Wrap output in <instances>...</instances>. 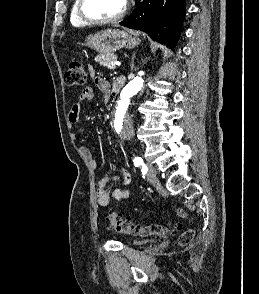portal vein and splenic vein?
Listing matches in <instances>:
<instances>
[{"mask_svg":"<svg viewBox=\"0 0 259 294\" xmlns=\"http://www.w3.org/2000/svg\"><path fill=\"white\" fill-rule=\"evenodd\" d=\"M111 65H112V67H116V66H119L120 63L117 61H113V62H111Z\"/></svg>","mask_w":259,"mask_h":294,"instance_id":"obj_1","label":"portal vein and splenic vein"}]
</instances>
